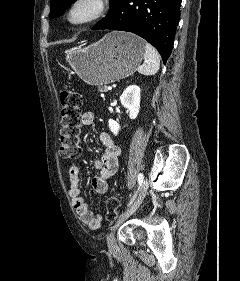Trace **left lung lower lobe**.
I'll return each instance as SVG.
<instances>
[{
	"mask_svg": "<svg viewBox=\"0 0 240 281\" xmlns=\"http://www.w3.org/2000/svg\"><path fill=\"white\" fill-rule=\"evenodd\" d=\"M182 0H116L92 30L135 33L151 43L164 63L169 58L180 19Z\"/></svg>",
	"mask_w": 240,
	"mask_h": 281,
	"instance_id": "0a47b994",
	"label": "left lung lower lobe"
}]
</instances>
